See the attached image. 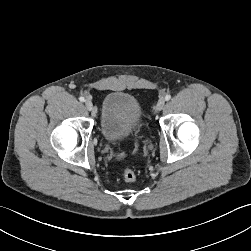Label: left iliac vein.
Listing matches in <instances>:
<instances>
[{"instance_id": "1", "label": "left iliac vein", "mask_w": 251, "mask_h": 251, "mask_svg": "<svg viewBox=\"0 0 251 251\" xmlns=\"http://www.w3.org/2000/svg\"><path fill=\"white\" fill-rule=\"evenodd\" d=\"M164 105H165V99H164V98H160V99L158 100L157 104H156V110H157V111L162 110L163 107H164Z\"/></svg>"}]
</instances>
